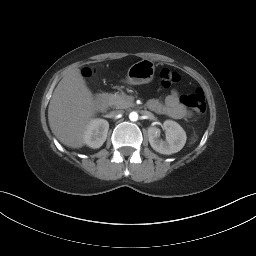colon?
<instances>
[{
	"mask_svg": "<svg viewBox=\"0 0 256 256\" xmlns=\"http://www.w3.org/2000/svg\"><path fill=\"white\" fill-rule=\"evenodd\" d=\"M90 70L86 69L85 73H89ZM180 81V76L177 72L163 68L159 73V82L162 87L169 88ZM181 103L196 111L197 113H204L206 110L205 96L201 89H196L193 93L183 94L180 98Z\"/></svg>",
	"mask_w": 256,
	"mask_h": 256,
	"instance_id": "1",
	"label": "colon"
}]
</instances>
